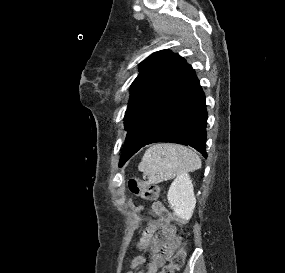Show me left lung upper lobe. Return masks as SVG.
Listing matches in <instances>:
<instances>
[{
	"mask_svg": "<svg viewBox=\"0 0 285 273\" xmlns=\"http://www.w3.org/2000/svg\"><path fill=\"white\" fill-rule=\"evenodd\" d=\"M186 65L183 57L169 50L157 51L141 62L140 72L130 87L124 117L126 130L162 99L180 78Z\"/></svg>",
	"mask_w": 285,
	"mask_h": 273,
	"instance_id": "5c2ea615",
	"label": "left lung upper lobe"
}]
</instances>
